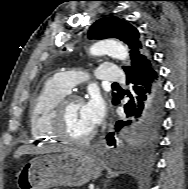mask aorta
Returning <instances> with one entry per match:
<instances>
[{
  "mask_svg": "<svg viewBox=\"0 0 188 189\" xmlns=\"http://www.w3.org/2000/svg\"><path fill=\"white\" fill-rule=\"evenodd\" d=\"M90 53L94 56L110 55L119 60H126L129 57L128 49L121 42L115 39H105L96 42L91 48Z\"/></svg>",
  "mask_w": 188,
  "mask_h": 189,
  "instance_id": "aorta-1",
  "label": "aorta"
}]
</instances>
